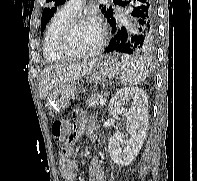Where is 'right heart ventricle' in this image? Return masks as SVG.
Masks as SVG:
<instances>
[{
    "instance_id": "obj_1",
    "label": "right heart ventricle",
    "mask_w": 197,
    "mask_h": 181,
    "mask_svg": "<svg viewBox=\"0 0 197 181\" xmlns=\"http://www.w3.org/2000/svg\"><path fill=\"white\" fill-rule=\"evenodd\" d=\"M77 14L66 7L59 9L50 20L43 44L45 59L50 63L67 60L58 49V39L65 25Z\"/></svg>"
}]
</instances>
